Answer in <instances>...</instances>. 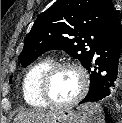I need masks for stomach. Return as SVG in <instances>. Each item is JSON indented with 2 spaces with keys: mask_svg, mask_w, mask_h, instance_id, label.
<instances>
[{
  "mask_svg": "<svg viewBox=\"0 0 122 123\" xmlns=\"http://www.w3.org/2000/svg\"><path fill=\"white\" fill-rule=\"evenodd\" d=\"M88 116L82 111L62 110L56 112L49 123H87Z\"/></svg>",
  "mask_w": 122,
  "mask_h": 123,
  "instance_id": "0dacf381",
  "label": "stomach"
}]
</instances>
